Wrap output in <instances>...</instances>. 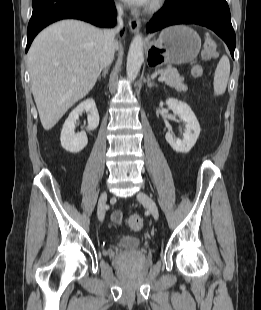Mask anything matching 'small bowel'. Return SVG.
Instances as JSON below:
<instances>
[{
	"mask_svg": "<svg viewBox=\"0 0 261 310\" xmlns=\"http://www.w3.org/2000/svg\"><path fill=\"white\" fill-rule=\"evenodd\" d=\"M121 214V213H120ZM114 222H117V223H119L120 221H114Z\"/></svg>",
	"mask_w": 261,
	"mask_h": 310,
	"instance_id": "1",
	"label": "small bowel"
}]
</instances>
